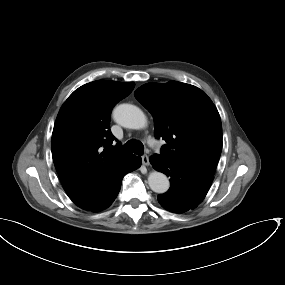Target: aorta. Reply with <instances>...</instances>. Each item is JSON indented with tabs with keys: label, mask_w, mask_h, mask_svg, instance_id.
<instances>
[{
	"label": "aorta",
	"mask_w": 285,
	"mask_h": 285,
	"mask_svg": "<svg viewBox=\"0 0 285 285\" xmlns=\"http://www.w3.org/2000/svg\"><path fill=\"white\" fill-rule=\"evenodd\" d=\"M113 118L125 128L137 130L147 126V118L143 111L131 104L118 105L113 111ZM148 184L152 191L159 194L165 193L170 187L167 176L158 171H153L148 175Z\"/></svg>",
	"instance_id": "1"
}]
</instances>
